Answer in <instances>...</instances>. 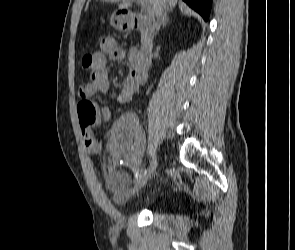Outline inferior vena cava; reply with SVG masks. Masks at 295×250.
Wrapping results in <instances>:
<instances>
[{
	"instance_id": "inferior-vena-cava-1",
	"label": "inferior vena cava",
	"mask_w": 295,
	"mask_h": 250,
	"mask_svg": "<svg viewBox=\"0 0 295 250\" xmlns=\"http://www.w3.org/2000/svg\"><path fill=\"white\" fill-rule=\"evenodd\" d=\"M163 13H164V9L163 8H160L157 12H156V16H157V19L159 21V18H161L163 16Z\"/></svg>"
}]
</instances>
